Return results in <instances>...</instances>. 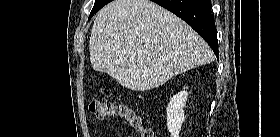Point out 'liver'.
I'll return each instance as SVG.
<instances>
[{
  "label": "liver",
  "mask_w": 280,
  "mask_h": 137,
  "mask_svg": "<svg viewBox=\"0 0 280 137\" xmlns=\"http://www.w3.org/2000/svg\"><path fill=\"white\" fill-rule=\"evenodd\" d=\"M92 68L135 91L213 61L193 29L149 0H114L96 15L89 41Z\"/></svg>",
  "instance_id": "liver-1"
}]
</instances>
